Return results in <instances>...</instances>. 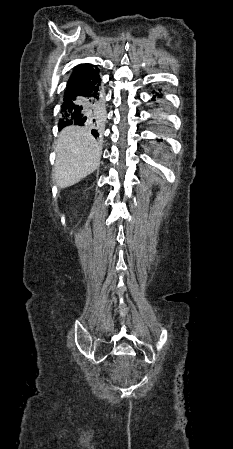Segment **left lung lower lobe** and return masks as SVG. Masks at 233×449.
Listing matches in <instances>:
<instances>
[{
  "instance_id": "obj_1",
  "label": "left lung lower lobe",
  "mask_w": 233,
  "mask_h": 449,
  "mask_svg": "<svg viewBox=\"0 0 233 449\" xmlns=\"http://www.w3.org/2000/svg\"><path fill=\"white\" fill-rule=\"evenodd\" d=\"M160 89H159V92H156L155 93V95H153V97H152V101H155L156 100V97H158V98H161L162 97V94L160 93Z\"/></svg>"
}]
</instances>
